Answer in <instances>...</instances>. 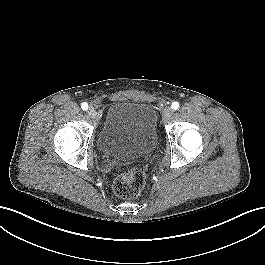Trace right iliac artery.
<instances>
[{"mask_svg": "<svg viewBox=\"0 0 265 265\" xmlns=\"http://www.w3.org/2000/svg\"><path fill=\"white\" fill-rule=\"evenodd\" d=\"M81 108L83 109V110H88V104L86 103V102H83L82 104H81Z\"/></svg>", "mask_w": 265, "mask_h": 265, "instance_id": "right-iliac-artery-1", "label": "right iliac artery"}]
</instances>
